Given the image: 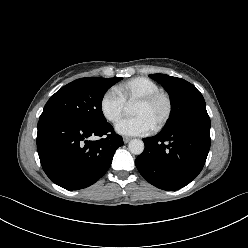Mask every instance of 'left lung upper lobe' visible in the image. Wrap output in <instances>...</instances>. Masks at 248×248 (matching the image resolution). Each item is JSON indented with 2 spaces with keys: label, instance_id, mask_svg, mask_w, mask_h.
I'll return each instance as SVG.
<instances>
[{
  "label": "left lung upper lobe",
  "instance_id": "obj_1",
  "mask_svg": "<svg viewBox=\"0 0 248 248\" xmlns=\"http://www.w3.org/2000/svg\"><path fill=\"white\" fill-rule=\"evenodd\" d=\"M149 76L160 83L170 96L171 114L162 131H170L190 120L208 116L204 98L194 85L166 74Z\"/></svg>",
  "mask_w": 248,
  "mask_h": 248
}]
</instances>
